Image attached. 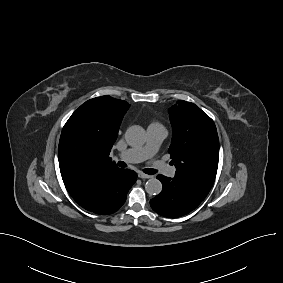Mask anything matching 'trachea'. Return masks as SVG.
Instances as JSON below:
<instances>
[{"mask_svg": "<svg viewBox=\"0 0 283 283\" xmlns=\"http://www.w3.org/2000/svg\"><path fill=\"white\" fill-rule=\"evenodd\" d=\"M118 166L125 168L127 166V164L123 161H119ZM143 172L146 173V174L152 175V174H155L157 171L155 169H152V168H146V169L143 170Z\"/></svg>", "mask_w": 283, "mask_h": 283, "instance_id": "trachea-1", "label": "trachea"}]
</instances>
